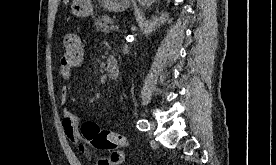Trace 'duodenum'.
Listing matches in <instances>:
<instances>
[{
    "instance_id": "obj_1",
    "label": "duodenum",
    "mask_w": 276,
    "mask_h": 165,
    "mask_svg": "<svg viewBox=\"0 0 276 165\" xmlns=\"http://www.w3.org/2000/svg\"><path fill=\"white\" fill-rule=\"evenodd\" d=\"M106 71L110 78H116L119 74V63L115 57H110L107 61Z\"/></svg>"
}]
</instances>
